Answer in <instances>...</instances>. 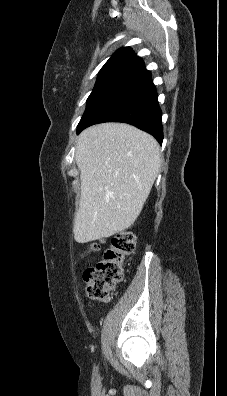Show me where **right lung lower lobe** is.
I'll return each mask as SVG.
<instances>
[{
    "label": "right lung lower lobe",
    "instance_id": "right-lung-lower-lobe-1",
    "mask_svg": "<svg viewBox=\"0 0 227 396\" xmlns=\"http://www.w3.org/2000/svg\"><path fill=\"white\" fill-rule=\"evenodd\" d=\"M161 116L151 73L143 66L88 114L77 132L98 123L123 122L151 134L162 144Z\"/></svg>",
    "mask_w": 227,
    "mask_h": 396
}]
</instances>
